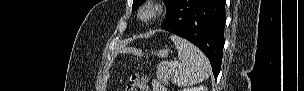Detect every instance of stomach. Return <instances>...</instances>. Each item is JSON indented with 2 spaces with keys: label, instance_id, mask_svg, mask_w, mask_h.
<instances>
[{
  "label": "stomach",
  "instance_id": "obj_1",
  "mask_svg": "<svg viewBox=\"0 0 304 91\" xmlns=\"http://www.w3.org/2000/svg\"><path fill=\"white\" fill-rule=\"evenodd\" d=\"M168 50L167 49H162V50H159L157 52V56L161 57V58H165L168 56Z\"/></svg>",
  "mask_w": 304,
  "mask_h": 91
}]
</instances>
